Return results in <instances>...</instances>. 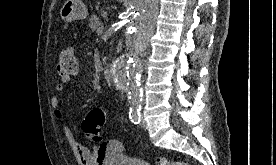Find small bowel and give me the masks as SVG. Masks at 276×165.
I'll list each match as a JSON object with an SVG mask.
<instances>
[{
  "label": "small bowel",
  "instance_id": "obj_1",
  "mask_svg": "<svg viewBox=\"0 0 276 165\" xmlns=\"http://www.w3.org/2000/svg\"><path fill=\"white\" fill-rule=\"evenodd\" d=\"M69 77H61V81L56 83L54 88L56 91L61 92L64 89V85L69 82ZM51 104L54 115L58 121L61 122L67 142L75 156L78 165H108L113 158L121 152L122 147L118 141H114L119 146V150L114 152H107L101 154L99 150L91 151L86 146L82 145L73 132L65 122L64 112L61 108L60 100L57 96L51 97Z\"/></svg>",
  "mask_w": 276,
  "mask_h": 165
}]
</instances>
